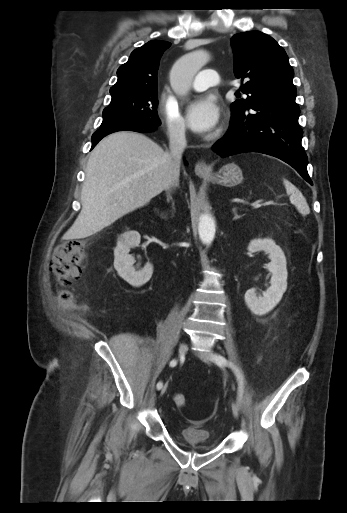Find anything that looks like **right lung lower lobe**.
Masks as SVG:
<instances>
[{
    "label": "right lung lower lobe",
    "instance_id": "1",
    "mask_svg": "<svg viewBox=\"0 0 347 513\" xmlns=\"http://www.w3.org/2000/svg\"><path fill=\"white\" fill-rule=\"evenodd\" d=\"M156 126L146 125L138 122H121L109 126L100 127L92 135V148L106 135L117 131L151 132Z\"/></svg>",
    "mask_w": 347,
    "mask_h": 513
}]
</instances>
